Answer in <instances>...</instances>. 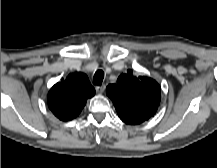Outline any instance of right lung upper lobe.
<instances>
[{"mask_svg":"<svg viewBox=\"0 0 217 168\" xmlns=\"http://www.w3.org/2000/svg\"><path fill=\"white\" fill-rule=\"evenodd\" d=\"M94 95L95 89L86 74L71 73L50 89L48 106L60 120L69 121L79 115L87 99Z\"/></svg>","mask_w":217,"mask_h":168,"instance_id":"obj_1","label":"right lung upper lobe"}]
</instances>
